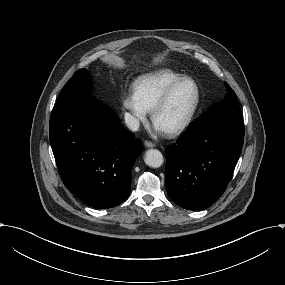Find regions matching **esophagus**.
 I'll list each match as a JSON object with an SVG mask.
<instances>
[{
    "mask_svg": "<svg viewBox=\"0 0 285 285\" xmlns=\"http://www.w3.org/2000/svg\"><path fill=\"white\" fill-rule=\"evenodd\" d=\"M144 146L147 148H154L155 144L153 142H150V141H145Z\"/></svg>",
    "mask_w": 285,
    "mask_h": 285,
    "instance_id": "34e87169",
    "label": "esophagus"
}]
</instances>
